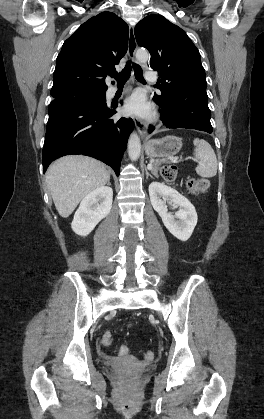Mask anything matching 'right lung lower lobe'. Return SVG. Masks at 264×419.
<instances>
[{
	"mask_svg": "<svg viewBox=\"0 0 264 419\" xmlns=\"http://www.w3.org/2000/svg\"><path fill=\"white\" fill-rule=\"evenodd\" d=\"M48 112L43 172L61 156L82 154L103 161L119 175L122 155L134 128L132 119H110L116 111L106 100L87 98L52 101Z\"/></svg>",
	"mask_w": 264,
	"mask_h": 419,
	"instance_id": "1",
	"label": "right lung lower lobe"
}]
</instances>
